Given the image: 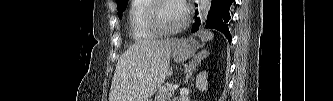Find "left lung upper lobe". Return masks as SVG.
Here are the masks:
<instances>
[{
	"label": "left lung upper lobe",
	"instance_id": "1",
	"mask_svg": "<svg viewBox=\"0 0 333 101\" xmlns=\"http://www.w3.org/2000/svg\"><path fill=\"white\" fill-rule=\"evenodd\" d=\"M116 1H117V8H118V16H119V18H121V14L125 10L128 0H116Z\"/></svg>",
	"mask_w": 333,
	"mask_h": 101
}]
</instances>
